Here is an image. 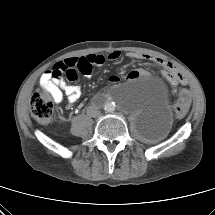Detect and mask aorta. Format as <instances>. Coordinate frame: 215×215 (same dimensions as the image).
<instances>
[{"label":"aorta","instance_id":"1","mask_svg":"<svg viewBox=\"0 0 215 215\" xmlns=\"http://www.w3.org/2000/svg\"><path fill=\"white\" fill-rule=\"evenodd\" d=\"M114 96L117 97V96H120L119 95V89H115L114 90ZM121 98V97H120ZM104 110L108 113H112L114 110H115V103L114 102H107L105 105H104Z\"/></svg>","mask_w":215,"mask_h":215}]
</instances>
